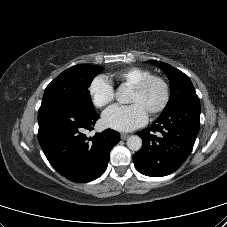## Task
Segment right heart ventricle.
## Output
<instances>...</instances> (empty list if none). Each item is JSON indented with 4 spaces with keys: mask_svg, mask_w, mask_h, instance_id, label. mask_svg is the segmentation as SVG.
Returning a JSON list of instances; mask_svg holds the SVG:
<instances>
[{
    "mask_svg": "<svg viewBox=\"0 0 227 227\" xmlns=\"http://www.w3.org/2000/svg\"><path fill=\"white\" fill-rule=\"evenodd\" d=\"M151 75V71L137 66L127 67L112 74V77L122 85L133 86Z\"/></svg>",
    "mask_w": 227,
    "mask_h": 227,
    "instance_id": "right-heart-ventricle-1",
    "label": "right heart ventricle"
}]
</instances>
